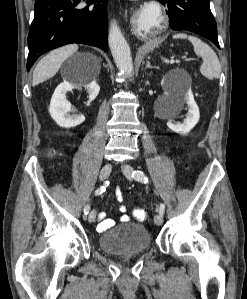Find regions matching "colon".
<instances>
[{"instance_id":"colon-1","label":"colon","mask_w":247,"mask_h":299,"mask_svg":"<svg viewBox=\"0 0 247 299\" xmlns=\"http://www.w3.org/2000/svg\"><path fill=\"white\" fill-rule=\"evenodd\" d=\"M119 193V196H123L122 192L120 189L116 190ZM133 216L136 220L140 222H144L147 219V214L143 209L136 208L133 211Z\"/></svg>"}]
</instances>
